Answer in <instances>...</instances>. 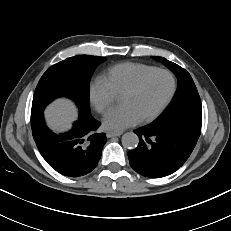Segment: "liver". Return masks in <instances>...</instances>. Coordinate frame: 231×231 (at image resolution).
Here are the masks:
<instances>
[{
	"instance_id": "1",
	"label": "liver",
	"mask_w": 231,
	"mask_h": 231,
	"mask_svg": "<svg viewBox=\"0 0 231 231\" xmlns=\"http://www.w3.org/2000/svg\"><path fill=\"white\" fill-rule=\"evenodd\" d=\"M45 116L50 128L62 132L71 127V122L77 117V109L71 101L59 99L47 107Z\"/></svg>"
}]
</instances>
